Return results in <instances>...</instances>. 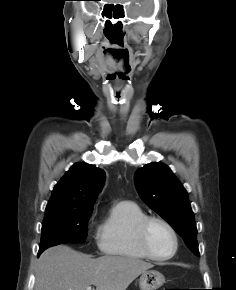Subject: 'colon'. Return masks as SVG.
I'll use <instances>...</instances> for the list:
<instances>
[{
	"mask_svg": "<svg viewBox=\"0 0 236 290\" xmlns=\"http://www.w3.org/2000/svg\"><path fill=\"white\" fill-rule=\"evenodd\" d=\"M164 290H177V289H169V288H166V289H164Z\"/></svg>",
	"mask_w": 236,
	"mask_h": 290,
	"instance_id": "obj_1",
	"label": "colon"
}]
</instances>
